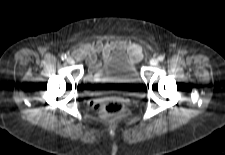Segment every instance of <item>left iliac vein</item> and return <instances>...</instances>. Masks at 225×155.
I'll return each instance as SVG.
<instances>
[{
  "instance_id": "left-iliac-vein-1",
  "label": "left iliac vein",
  "mask_w": 225,
  "mask_h": 155,
  "mask_svg": "<svg viewBox=\"0 0 225 155\" xmlns=\"http://www.w3.org/2000/svg\"><path fill=\"white\" fill-rule=\"evenodd\" d=\"M157 64H158V59L152 58V59L150 60V65H151V66H156Z\"/></svg>"
}]
</instances>
